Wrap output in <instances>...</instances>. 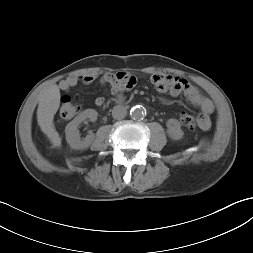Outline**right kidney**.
Instances as JSON below:
<instances>
[{
	"mask_svg": "<svg viewBox=\"0 0 253 253\" xmlns=\"http://www.w3.org/2000/svg\"><path fill=\"white\" fill-rule=\"evenodd\" d=\"M98 116L94 109H87L75 117L65 128L66 141L72 149H87L94 140V134L87 135L83 140L80 138L78 126L86 119L96 121Z\"/></svg>",
	"mask_w": 253,
	"mask_h": 253,
	"instance_id": "ca27d5eb",
	"label": "right kidney"
}]
</instances>
